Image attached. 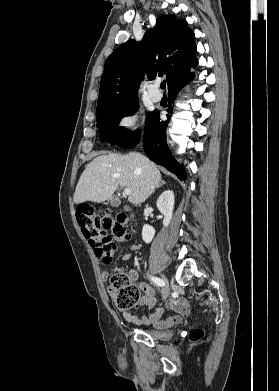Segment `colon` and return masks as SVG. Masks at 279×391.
Listing matches in <instances>:
<instances>
[{"label":"colon","mask_w":279,"mask_h":391,"mask_svg":"<svg viewBox=\"0 0 279 391\" xmlns=\"http://www.w3.org/2000/svg\"><path fill=\"white\" fill-rule=\"evenodd\" d=\"M76 218L96 257L104 263H110L117 252L115 240H127L130 237L126 228L128 218L124 212L98 216L92 207L87 206L78 210ZM111 285L116 293L118 308L130 309L139 303L140 292L126 273L116 271L111 277ZM203 336L202 329H194L190 333V340L197 342Z\"/></svg>","instance_id":"obj_1"}]
</instances>
